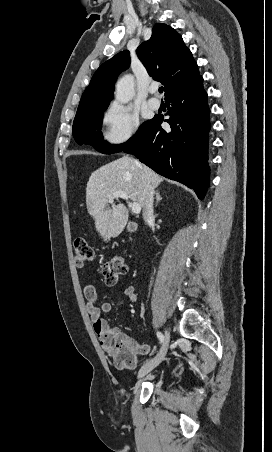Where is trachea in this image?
Returning a JSON list of instances; mask_svg holds the SVG:
<instances>
[{"instance_id": "obj_1", "label": "trachea", "mask_w": 272, "mask_h": 452, "mask_svg": "<svg viewBox=\"0 0 272 452\" xmlns=\"http://www.w3.org/2000/svg\"><path fill=\"white\" fill-rule=\"evenodd\" d=\"M163 92V87H160L159 88V93H162Z\"/></svg>"}]
</instances>
